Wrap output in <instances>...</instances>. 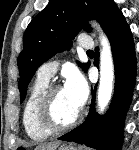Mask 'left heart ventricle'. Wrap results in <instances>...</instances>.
<instances>
[{
    "mask_svg": "<svg viewBox=\"0 0 139 150\" xmlns=\"http://www.w3.org/2000/svg\"><path fill=\"white\" fill-rule=\"evenodd\" d=\"M64 88L55 92L51 103V117L60 125L71 122L80 110Z\"/></svg>",
    "mask_w": 139,
    "mask_h": 150,
    "instance_id": "left-heart-ventricle-1",
    "label": "left heart ventricle"
}]
</instances>
